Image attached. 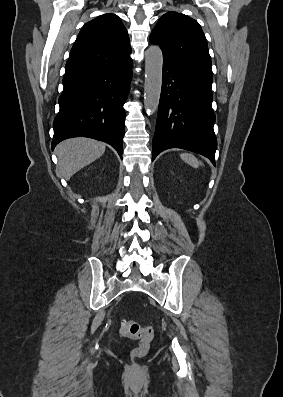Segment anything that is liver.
Listing matches in <instances>:
<instances>
[{"label":"liver","mask_w":283,"mask_h":397,"mask_svg":"<svg viewBox=\"0 0 283 397\" xmlns=\"http://www.w3.org/2000/svg\"><path fill=\"white\" fill-rule=\"evenodd\" d=\"M106 149L103 142L90 138H71L57 145L58 171L65 179L100 158Z\"/></svg>","instance_id":"obj_1"}]
</instances>
